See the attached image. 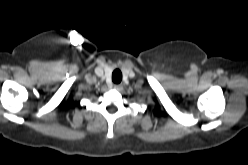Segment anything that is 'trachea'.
Here are the masks:
<instances>
[{
	"label": "trachea",
	"mask_w": 248,
	"mask_h": 165,
	"mask_svg": "<svg viewBox=\"0 0 248 165\" xmlns=\"http://www.w3.org/2000/svg\"><path fill=\"white\" fill-rule=\"evenodd\" d=\"M122 80V73L119 69H115L112 73V81L116 84L120 83Z\"/></svg>",
	"instance_id": "1"
}]
</instances>
